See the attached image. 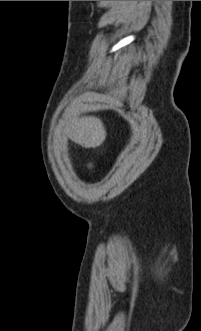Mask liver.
Masks as SVG:
<instances>
[{
	"label": "liver",
	"instance_id": "liver-1",
	"mask_svg": "<svg viewBox=\"0 0 201 331\" xmlns=\"http://www.w3.org/2000/svg\"><path fill=\"white\" fill-rule=\"evenodd\" d=\"M61 126L70 140L84 148L99 147L106 139V130L102 121L94 116L76 118L66 114Z\"/></svg>",
	"mask_w": 201,
	"mask_h": 331
}]
</instances>
